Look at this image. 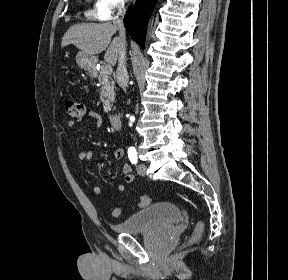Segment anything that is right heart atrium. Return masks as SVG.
<instances>
[{
  "mask_svg": "<svg viewBox=\"0 0 288 280\" xmlns=\"http://www.w3.org/2000/svg\"><path fill=\"white\" fill-rule=\"evenodd\" d=\"M126 0H96L93 9L94 17L100 21H107L125 8Z\"/></svg>",
  "mask_w": 288,
  "mask_h": 280,
  "instance_id": "1",
  "label": "right heart atrium"
}]
</instances>
